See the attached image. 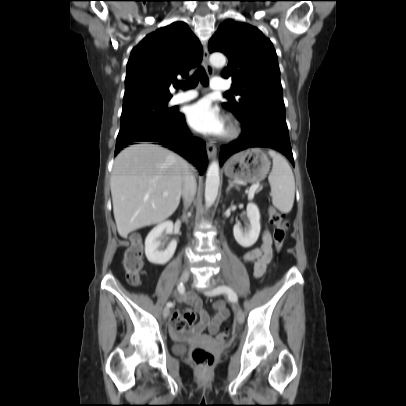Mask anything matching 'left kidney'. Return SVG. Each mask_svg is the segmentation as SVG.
Returning <instances> with one entry per match:
<instances>
[{"mask_svg": "<svg viewBox=\"0 0 406 406\" xmlns=\"http://www.w3.org/2000/svg\"><path fill=\"white\" fill-rule=\"evenodd\" d=\"M245 227L240 223L233 227L234 238L244 248L251 247L258 240L261 225L259 208L254 203L247 205V219L244 220Z\"/></svg>", "mask_w": 406, "mask_h": 406, "instance_id": "left-kidney-1", "label": "left kidney"}]
</instances>
